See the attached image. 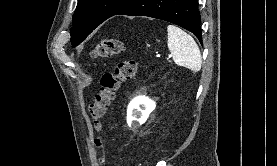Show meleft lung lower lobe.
I'll use <instances>...</instances> for the list:
<instances>
[{
	"label": "left lung lower lobe",
	"mask_w": 277,
	"mask_h": 166,
	"mask_svg": "<svg viewBox=\"0 0 277 166\" xmlns=\"http://www.w3.org/2000/svg\"><path fill=\"white\" fill-rule=\"evenodd\" d=\"M119 14L148 16L174 23L192 32L202 44L196 0H133L115 15Z\"/></svg>",
	"instance_id": "0a47b994"
}]
</instances>
